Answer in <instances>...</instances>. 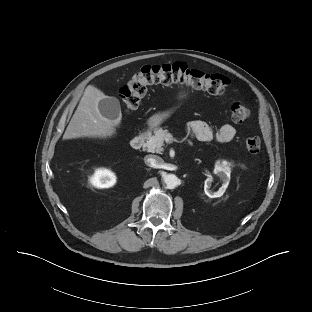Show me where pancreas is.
Here are the masks:
<instances>
[{
	"label": "pancreas",
	"mask_w": 312,
	"mask_h": 312,
	"mask_svg": "<svg viewBox=\"0 0 312 312\" xmlns=\"http://www.w3.org/2000/svg\"><path fill=\"white\" fill-rule=\"evenodd\" d=\"M169 134L167 129L158 128L154 131V135H150L147 138L144 146L147 148L148 152L159 153L163 152V145L166 139V136Z\"/></svg>",
	"instance_id": "obj_1"
}]
</instances>
